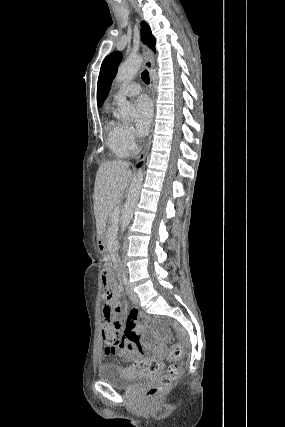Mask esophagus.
Segmentation results:
<instances>
[{
  "label": "esophagus",
  "mask_w": 285,
  "mask_h": 427,
  "mask_svg": "<svg viewBox=\"0 0 285 427\" xmlns=\"http://www.w3.org/2000/svg\"><path fill=\"white\" fill-rule=\"evenodd\" d=\"M142 52H143V55L145 57L144 67L151 73V71L153 69V59H152L151 51H150V49L147 46L143 45ZM151 95H152V99H153V116H154L156 98H155L154 80H153V76L152 75H151ZM153 129H154V119H153L152 124H151V132H150V136L148 138V142H147L144 150L137 157V162H140L143 159H145V157H146V155H147V153H148V151L150 149V144H151Z\"/></svg>",
  "instance_id": "obj_1"
}]
</instances>
